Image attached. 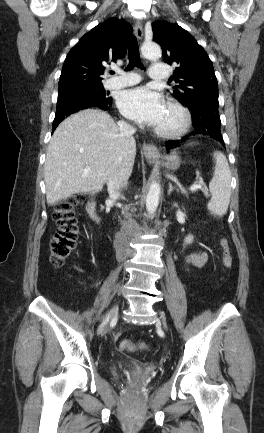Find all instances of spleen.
Segmentation results:
<instances>
[{
  "instance_id": "1",
  "label": "spleen",
  "mask_w": 264,
  "mask_h": 433,
  "mask_svg": "<svg viewBox=\"0 0 264 433\" xmlns=\"http://www.w3.org/2000/svg\"><path fill=\"white\" fill-rule=\"evenodd\" d=\"M215 170L209 183L212 198L208 203L210 212L217 216H223L228 210L231 196V172L228 161L223 153L215 151Z\"/></svg>"
}]
</instances>
